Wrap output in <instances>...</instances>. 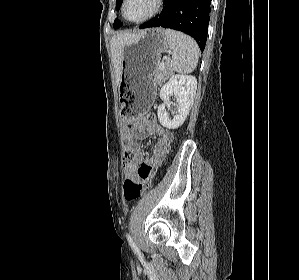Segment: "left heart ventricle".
<instances>
[{
  "mask_svg": "<svg viewBox=\"0 0 299 280\" xmlns=\"http://www.w3.org/2000/svg\"><path fill=\"white\" fill-rule=\"evenodd\" d=\"M155 0H128L126 16L130 20H138L146 16L154 7Z\"/></svg>",
  "mask_w": 299,
  "mask_h": 280,
  "instance_id": "obj_1",
  "label": "left heart ventricle"
}]
</instances>
